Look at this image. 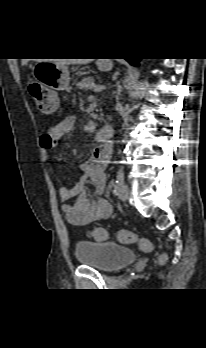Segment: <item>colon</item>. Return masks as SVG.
Returning <instances> with one entry per match:
<instances>
[{"label": "colon", "mask_w": 206, "mask_h": 348, "mask_svg": "<svg viewBox=\"0 0 206 348\" xmlns=\"http://www.w3.org/2000/svg\"><path fill=\"white\" fill-rule=\"evenodd\" d=\"M28 93L35 101L39 108H51L42 100L43 90L41 85L36 81H29L27 85ZM90 236L97 241H105L108 239L107 231L102 227H95L90 231ZM116 238L121 243L137 244L143 251L149 252L152 250V244L145 238L140 237L137 233L129 230H120L116 234ZM166 260L165 256L160 258L161 262Z\"/></svg>", "instance_id": "colon-1"}]
</instances>
